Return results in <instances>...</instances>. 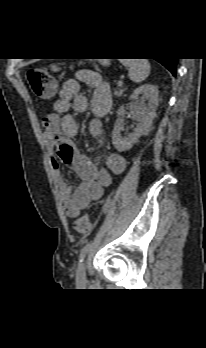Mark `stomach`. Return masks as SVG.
Instances as JSON below:
<instances>
[{
    "label": "stomach",
    "instance_id": "0dacf381",
    "mask_svg": "<svg viewBox=\"0 0 206 348\" xmlns=\"http://www.w3.org/2000/svg\"><path fill=\"white\" fill-rule=\"evenodd\" d=\"M102 61V64H104V65H108L109 64V60H101Z\"/></svg>",
    "mask_w": 206,
    "mask_h": 348
}]
</instances>
